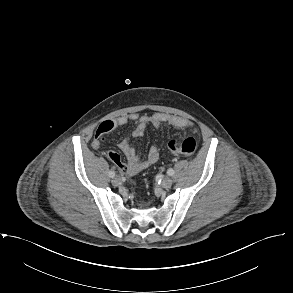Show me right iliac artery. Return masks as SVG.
Returning a JSON list of instances; mask_svg holds the SVG:
<instances>
[{
    "label": "right iliac artery",
    "mask_w": 293,
    "mask_h": 293,
    "mask_svg": "<svg viewBox=\"0 0 293 293\" xmlns=\"http://www.w3.org/2000/svg\"><path fill=\"white\" fill-rule=\"evenodd\" d=\"M115 176V172L114 171H109V177L113 178Z\"/></svg>",
    "instance_id": "1"
}]
</instances>
